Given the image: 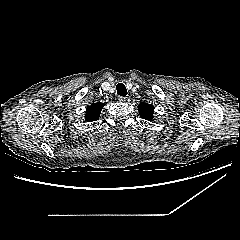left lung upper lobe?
<instances>
[{"label": "left lung upper lobe", "mask_w": 240, "mask_h": 240, "mask_svg": "<svg viewBox=\"0 0 240 240\" xmlns=\"http://www.w3.org/2000/svg\"><path fill=\"white\" fill-rule=\"evenodd\" d=\"M139 114L143 119L152 121L153 120V113H154V108L152 105L141 102L138 106Z\"/></svg>", "instance_id": "obj_1"}]
</instances>
